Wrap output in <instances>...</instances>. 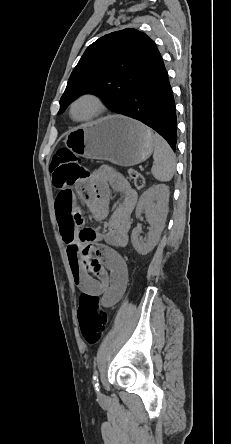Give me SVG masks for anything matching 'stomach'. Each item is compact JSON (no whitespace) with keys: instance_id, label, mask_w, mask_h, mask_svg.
<instances>
[{"instance_id":"0dacf381","label":"stomach","mask_w":231,"mask_h":444,"mask_svg":"<svg viewBox=\"0 0 231 444\" xmlns=\"http://www.w3.org/2000/svg\"><path fill=\"white\" fill-rule=\"evenodd\" d=\"M64 143L75 155L120 166L145 161L154 150V134L142 123L112 115L71 130Z\"/></svg>"}]
</instances>
